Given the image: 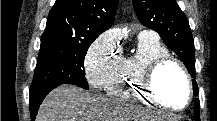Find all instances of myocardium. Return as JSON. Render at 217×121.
Instances as JSON below:
<instances>
[{
    "label": "myocardium",
    "mask_w": 217,
    "mask_h": 121,
    "mask_svg": "<svg viewBox=\"0 0 217 121\" xmlns=\"http://www.w3.org/2000/svg\"><path fill=\"white\" fill-rule=\"evenodd\" d=\"M167 65H174L175 67H177L185 78L187 89H188V97L186 103L182 107H174L168 105L165 101L161 99V97L158 95L156 91V86H155L156 75L162 68H164ZM142 89L145 95L152 102L172 112H181L186 110L192 103L193 96H194L193 83L188 70L186 69V67L183 65L182 62H180L178 59L170 55H164L157 58L145 68L142 76Z\"/></svg>",
    "instance_id": "1"
}]
</instances>
